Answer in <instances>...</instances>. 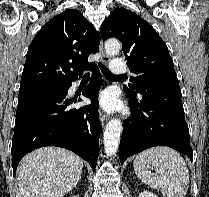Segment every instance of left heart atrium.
<instances>
[{
	"label": "left heart atrium",
	"instance_id": "obj_1",
	"mask_svg": "<svg viewBox=\"0 0 209 197\" xmlns=\"http://www.w3.org/2000/svg\"><path fill=\"white\" fill-rule=\"evenodd\" d=\"M100 106L107 111H112L120 106L118 96L113 90H106L99 96Z\"/></svg>",
	"mask_w": 209,
	"mask_h": 197
}]
</instances>
